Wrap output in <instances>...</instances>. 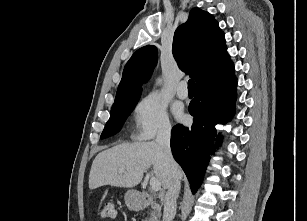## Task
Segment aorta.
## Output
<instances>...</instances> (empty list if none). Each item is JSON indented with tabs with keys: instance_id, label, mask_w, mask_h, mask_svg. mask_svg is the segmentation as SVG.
<instances>
[{
	"instance_id": "1",
	"label": "aorta",
	"mask_w": 307,
	"mask_h": 221,
	"mask_svg": "<svg viewBox=\"0 0 307 221\" xmlns=\"http://www.w3.org/2000/svg\"><path fill=\"white\" fill-rule=\"evenodd\" d=\"M162 81L160 79H158L157 83H161Z\"/></svg>"
}]
</instances>
